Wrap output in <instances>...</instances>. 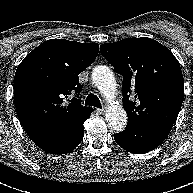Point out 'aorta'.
<instances>
[{
    "label": "aorta",
    "mask_w": 193,
    "mask_h": 193,
    "mask_svg": "<svg viewBox=\"0 0 193 193\" xmlns=\"http://www.w3.org/2000/svg\"><path fill=\"white\" fill-rule=\"evenodd\" d=\"M92 79L103 97L110 101L105 111L108 126L114 131L123 130L127 124V114L118 102L113 101L117 92L113 72L107 66H96L92 70Z\"/></svg>",
    "instance_id": "762f6f07"
}]
</instances>
